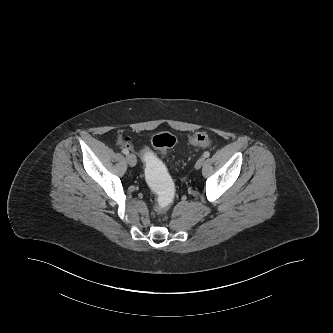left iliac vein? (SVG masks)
<instances>
[{"label":"left iliac vein","instance_id":"1","mask_svg":"<svg viewBox=\"0 0 333 333\" xmlns=\"http://www.w3.org/2000/svg\"><path fill=\"white\" fill-rule=\"evenodd\" d=\"M205 162V158L201 157L197 160L196 164H195V168L196 169H200L202 167V165Z\"/></svg>","mask_w":333,"mask_h":333}]
</instances>
